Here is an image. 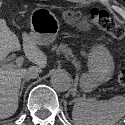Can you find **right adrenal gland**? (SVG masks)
Segmentation results:
<instances>
[{"mask_svg":"<svg viewBox=\"0 0 125 125\" xmlns=\"http://www.w3.org/2000/svg\"><path fill=\"white\" fill-rule=\"evenodd\" d=\"M28 80H23L22 83H21V86H20V91H19V97L21 96L22 92H23V89H24V84L25 82H27Z\"/></svg>","mask_w":125,"mask_h":125,"instance_id":"obj_1","label":"right adrenal gland"}]
</instances>
